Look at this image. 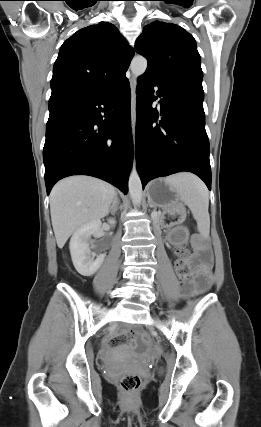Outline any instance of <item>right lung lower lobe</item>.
Returning <instances> with one entry per match:
<instances>
[{"mask_svg": "<svg viewBox=\"0 0 261 427\" xmlns=\"http://www.w3.org/2000/svg\"><path fill=\"white\" fill-rule=\"evenodd\" d=\"M130 100L125 78L97 96L50 110L43 148L47 194L58 180L76 174L101 178L128 192Z\"/></svg>", "mask_w": 261, "mask_h": 427, "instance_id": "1", "label": "right lung lower lobe"}]
</instances>
